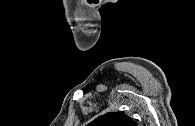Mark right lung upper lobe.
I'll use <instances>...</instances> for the list:
<instances>
[{"instance_id":"cb5924a9","label":"right lung upper lobe","mask_w":195,"mask_h":126,"mask_svg":"<svg viewBox=\"0 0 195 126\" xmlns=\"http://www.w3.org/2000/svg\"><path fill=\"white\" fill-rule=\"evenodd\" d=\"M87 126H136V123L123 113L109 112L99 116Z\"/></svg>"}]
</instances>
